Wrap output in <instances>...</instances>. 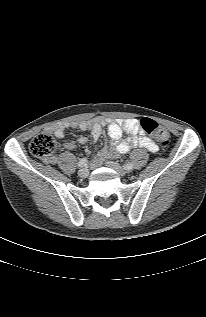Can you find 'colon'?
<instances>
[{
	"mask_svg": "<svg viewBox=\"0 0 206 317\" xmlns=\"http://www.w3.org/2000/svg\"><path fill=\"white\" fill-rule=\"evenodd\" d=\"M142 130L154 137L160 144L166 145L169 142L168 131L151 118H142L140 121ZM57 144L54 137L46 132L35 136L30 144L29 151L34 156L41 159H49L56 150Z\"/></svg>",
	"mask_w": 206,
	"mask_h": 317,
	"instance_id": "colon-1",
	"label": "colon"
}]
</instances>
